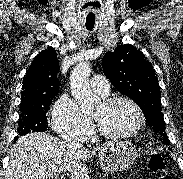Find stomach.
<instances>
[{
  "label": "stomach",
  "mask_w": 183,
  "mask_h": 179,
  "mask_svg": "<svg viewBox=\"0 0 183 179\" xmlns=\"http://www.w3.org/2000/svg\"><path fill=\"white\" fill-rule=\"evenodd\" d=\"M138 157L136 147L127 141H113L99 151V161L105 172L123 171L133 164Z\"/></svg>",
  "instance_id": "stomach-1"
}]
</instances>
